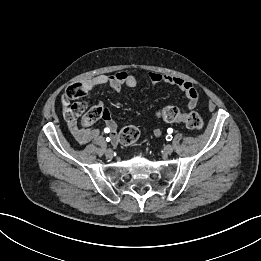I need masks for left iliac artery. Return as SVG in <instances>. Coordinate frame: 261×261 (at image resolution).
<instances>
[{
	"label": "left iliac artery",
	"mask_w": 261,
	"mask_h": 261,
	"mask_svg": "<svg viewBox=\"0 0 261 261\" xmlns=\"http://www.w3.org/2000/svg\"><path fill=\"white\" fill-rule=\"evenodd\" d=\"M167 132H168L169 134H171V133L173 132V129H172V128H168ZM166 140H167V141H171V140H172V135H167V136H166Z\"/></svg>",
	"instance_id": "obj_1"
}]
</instances>
